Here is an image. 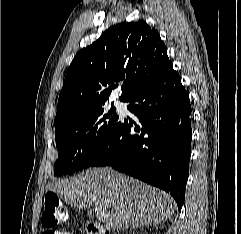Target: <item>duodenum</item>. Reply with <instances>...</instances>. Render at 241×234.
Instances as JSON below:
<instances>
[{"mask_svg": "<svg viewBox=\"0 0 241 234\" xmlns=\"http://www.w3.org/2000/svg\"><path fill=\"white\" fill-rule=\"evenodd\" d=\"M85 228L87 234H105L103 228L99 224L91 221H87L85 223Z\"/></svg>", "mask_w": 241, "mask_h": 234, "instance_id": "obj_1", "label": "duodenum"}]
</instances>
